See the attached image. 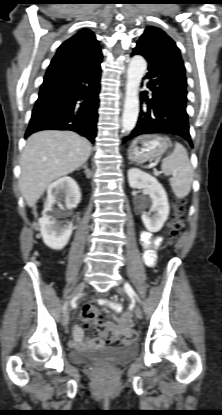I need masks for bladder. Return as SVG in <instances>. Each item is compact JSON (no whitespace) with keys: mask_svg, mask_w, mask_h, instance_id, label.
<instances>
[{"mask_svg":"<svg viewBox=\"0 0 222 415\" xmlns=\"http://www.w3.org/2000/svg\"><path fill=\"white\" fill-rule=\"evenodd\" d=\"M138 346L127 343L121 346H104L100 348H76L69 349V360L77 364H86L104 359L114 364H123L136 358Z\"/></svg>","mask_w":222,"mask_h":415,"instance_id":"obj_1","label":"bladder"}]
</instances>
